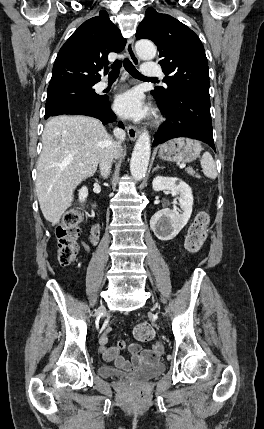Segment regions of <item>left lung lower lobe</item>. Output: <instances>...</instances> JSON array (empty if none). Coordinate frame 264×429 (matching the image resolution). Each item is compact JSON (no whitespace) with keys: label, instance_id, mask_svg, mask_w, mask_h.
Returning a JSON list of instances; mask_svg holds the SVG:
<instances>
[{"label":"left lung lower lobe","instance_id":"left-lung-lower-lobe-1","mask_svg":"<svg viewBox=\"0 0 264 429\" xmlns=\"http://www.w3.org/2000/svg\"><path fill=\"white\" fill-rule=\"evenodd\" d=\"M166 122L161 124L153 145L177 137H189L210 145L214 151L209 96L178 89L169 102L157 101Z\"/></svg>","mask_w":264,"mask_h":429}]
</instances>
